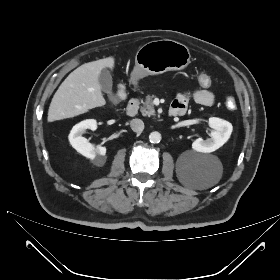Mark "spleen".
Returning <instances> with one entry per match:
<instances>
[{"label": "spleen", "mask_w": 280, "mask_h": 280, "mask_svg": "<svg viewBox=\"0 0 280 280\" xmlns=\"http://www.w3.org/2000/svg\"><path fill=\"white\" fill-rule=\"evenodd\" d=\"M218 182V180H214V181H211L207 184V187H210V186H213L214 184H216Z\"/></svg>", "instance_id": "spleen-1"}]
</instances>
